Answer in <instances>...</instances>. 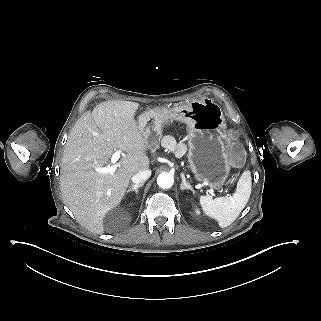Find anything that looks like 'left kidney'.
<instances>
[{
  "mask_svg": "<svg viewBox=\"0 0 321 321\" xmlns=\"http://www.w3.org/2000/svg\"><path fill=\"white\" fill-rule=\"evenodd\" d=\"M196 213H197V214H200V211H199L198 209H196Z\"/></svg>",
  "mask_w": 321,
  "mask_h": 321,
  "instance_id": "5707ae66",
  "label": "left kidney"
}]
</instances>
